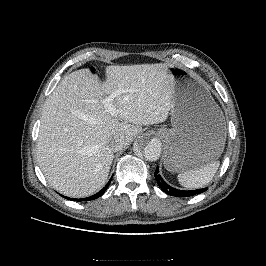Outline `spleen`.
Instances as JSON below:
<instances>
[{
	"instance_id": "1",
	"label": "spleen",
	"mask_w": 266,
	"mask_h": 266,
	"mask_svg": "<svg viewBox=\"0 0 266 266\" xmlns=\"http://www.w3.org/2000/svg\"><path fill=\"white\" fill-rule=\"evenodd\" d=\"M219 165V161H214L200 169L182 172L178 174V181L183 187L188 189L204 187L213 179Z\"/></svg>"
}]
</instances>
